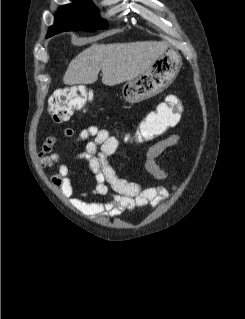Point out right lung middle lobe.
<instances>
[{
	"mask_svg": "<svg viewBox=\"0 0 245 319\" xmlns=\"http://www.w3.org/2000/svg\"><path fill=\"white\" fill-rule=\"evenodd\" d=\"M106 29L107 23L99 18L97 8L90 0H74L70 5L62 6L55 16V25L49 35L62 31H96Z\"/></svg>",
	"mask_w": 245,
	"mask_h": 319,
	"instance_id": "1",
	"label": "right lung middle lobe"
}]
</instances>
